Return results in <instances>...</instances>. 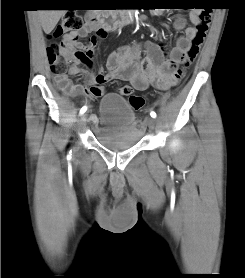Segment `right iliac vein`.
<instances>
[{
	"label": "right iliac vein",
	"instance_id": "1",
	"mask_svg": "<svg viewBox=\"0 0 245 278\" xmlns=\"http://www.w3.org/2000/svg\"><path fill=\"white\" fill-rule=\"evenodd\" d=\"M86 119H87V114H84V115L81 116L80 127H82L84 125Z\"/></svg>",
	"mask_w": 245,
	"mask_h": 278
}]
</instances>
